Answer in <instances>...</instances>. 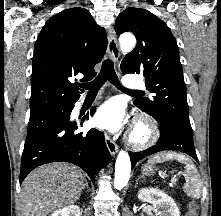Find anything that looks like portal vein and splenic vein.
Returning a JSON list of instances; mask_svg holds the SVG:
<instances>
[{"label":"portal vein and splenic vein","instance_id":"portal-vein-and-splenic-vein-1","mask_svg":"<svg viewBox=\"0 0 221 216\" xmlns=\"http://www.w3.org/2000/svg\"><path fill=\"white\" fill-rule=\"evenodd\" d=\"M171 182H176V178H172V179H171Z\"/></svg>","mask_w":221,"mask_h":216}]
</instances>
